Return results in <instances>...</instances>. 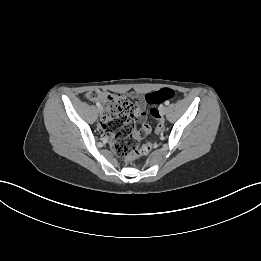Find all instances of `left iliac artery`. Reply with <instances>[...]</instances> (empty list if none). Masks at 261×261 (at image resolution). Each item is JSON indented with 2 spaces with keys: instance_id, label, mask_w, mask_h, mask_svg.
<instances>
[{
  "instance_id": "obj_1",
  "label": "left iliac artery",
  "mask_w": 261,
  "mask_h": 261,
  "mask_svg": "<svg viewBox=\"0 0 261 261\" xmlns=\"http://www.w3.org/2000/svg\"><path fill=\"white\" fill-rule=\"evenodd\" d=\"M169 103H170V102H169L168 100L165 101V105H169Z\"/></svg>"
}]
</instances>
